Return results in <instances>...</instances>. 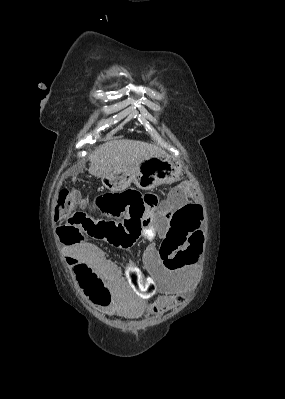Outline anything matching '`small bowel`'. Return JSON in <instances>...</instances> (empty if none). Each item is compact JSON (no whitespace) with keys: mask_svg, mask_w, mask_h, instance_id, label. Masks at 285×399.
<instances>
[{"mask_svg":"<svg viewBox=\"0 0 285 399\" xmlns=\"http://www.w3.org/2000/svg\"><path fill=\"white\" fill-rule=\"evenodd\" d=\"M186 201L187 195L183 194L174 204L181 207ZM157 206L158 204L148 207L147 212L150 216H153ZM175 206L167 205L163 211L172 213ZM116 214L115 210L101 211L96 202H90L87 204V216L94 222V227L84 229L89 235L100 238L108 225L115 224L111 218ZM166 221L167 219L161 218L149 224L144 230V239L152 242L156 234L166 236L169 244L181 246L189 262L181 268L166 269L161 264L158 250L155 247H149L143 253V265L151 275L149 282L142 280L141 270L135 265L128 266L123 274L113 261L106 258L89 242L65 247V256L72 274L95 307L107 315L132 319L148 313L161 314L183 302L193 286L197 273L195 258L200 231L192 228L194 219L170 225H166ZM61 225L62 223L59 226ZM62 234L65 237L71 236L68 231H63ZM81 266H89L95 278L105 284L110 295L109 300L99 291L87 286L79 273ZM138 281H141V285L137 293L132 296L129 289Z\"/></svg>","mask_w":285,"mask_h":399,"instance_id":"c3829d8e","label":"small bowel"}]
</instances>
